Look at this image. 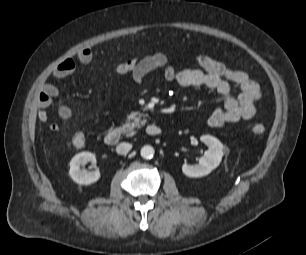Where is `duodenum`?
<instances>
[{"instance_id":"1","label":"duodenum","mask_w":306,"mask_h":255,"mask_svg":"<svg viewBox=\"0 0 306 255\" xmlns=\"http://www.w3.org/2000/svg\"><path fill=\"white\" fill-rule=\"evenodd\" d=\"M146 133L151 137H156L161 134V129L156 125H148ZM123 136V129L121 127H114L109 129L104 136V141L107 145L117 144Z\"/></svg>"}]
</instances>
